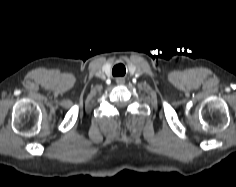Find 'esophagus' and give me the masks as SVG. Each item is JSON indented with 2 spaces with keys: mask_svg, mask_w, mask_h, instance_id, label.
Masks as SVG:
<instances>
[{
  "mask_svg": "<svg viewBox=\"0 0 236 187\" xmlns=\"http://www.w3.org/2000/svg\"><path fill=\"white\" fill-rule=\"evenodd\" d=\"M116 83L118 85H122L125 83V79L123 77H118V78H116Z\"/></svg>",
  "mask_w": 236,
  "mask_h": 187,
  "instance_id": "34e87169",
  "label": "esophagus"
}]
</instances>
